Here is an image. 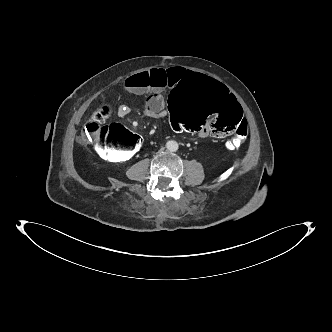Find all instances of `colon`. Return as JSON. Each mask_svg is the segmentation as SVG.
Masks as SVG:
<instances>
[{
    "instance_id": "5ec220e1",
    "label": "colon",
    "mask_w": 332,
    "mask_h": 332,
    "mask_svg": "<svg viewBox=\"0 0 332 332\" xmlns=\"http://www.w3.org/2000/svg\"><path fill=\"white\" fill-rule=\"evenodd\" d=\"M111 108L102 106L82 128V140L97 146L107 160L124 162L140 151L144 141L138 135L114 125L103 130L100 117L109 115ZM240 100L216 79L191 73L182 77L170 92L166 116L179 132L222 139L228 149L240 147L248 135V125L242 120ZM241 121V122H240ZM108 144V146H107Z\"/></svg>"
}]
</instances>
